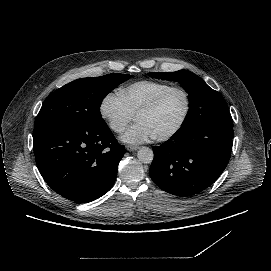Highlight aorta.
Returning <instances> with one entry per match:
<instances>
[{"label": "aorta", "mask_w": 271, "mask_h": 271, "mask_svg": "<svg viewBox=\"0 0 271 271\" xmlns=\"http://www.w3.org/2000/svg\"><path fill=\"white\" fill-rule=\"evenodd\" d=\"M137 157L140 162L144 164H150L154 159V153L152 149L148 147H142L139 149Z\"/></svg>", "instance_id": "obj_1"}]
</instances>
